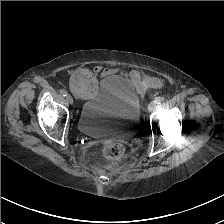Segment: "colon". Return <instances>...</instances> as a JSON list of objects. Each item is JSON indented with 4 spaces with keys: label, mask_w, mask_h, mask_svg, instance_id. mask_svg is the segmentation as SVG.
<instances>
[{
    "label": "colon",
    "mask_w": 224,
    "mask_h": 224,
    "mask_svg": "<svg viewBox=\"0 0 224 224\" xmlns=\"http://www.w3.org/2000/svg\"><path fill=\"white\" fill-rule=\"evenodd\" d=\"M72 91L81 98L93 96L98 89L96 74L87 68L77 70L70 83ZM103 154L111 159L119 158L123 155L124 148L119 142H106L102 147Z\"/></svg>",
    "instance_id": "colon-1"
}]
</instances>
